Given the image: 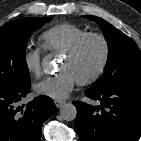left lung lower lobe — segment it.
<instances>
[{
    "label": "left lung lower lobe",
    "mask_w": 141,
    "mask_h": 141,
    "mask_svg": "<svg viewBox=\"0 0 141 141\" xmlns=\"http://www.w3.org/2000/svg\"><path fill=\"white\" fill-rule=\"evenodd\" d=\"M99 100L93 107L73 102L77 108L75 129L81 141H137L141 136V84H116L86 91Z\"/></svg>",
    "instance_id": "left-lung-lower-lobe-1"
}]
</instances>
